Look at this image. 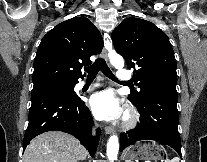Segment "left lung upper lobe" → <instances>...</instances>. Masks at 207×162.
Masks as SVG:
<instances>
[{"label": "left lung upper lobe", "mask_w": 207, "mask_h": 162, "mask_svg": "<svg viewBox=\"0 0 207 162\" xmlns=\"http://www.w3.org/2000/svg\"><path fill=\"white\" fill-rule=\"evenodd\" d=\"M112 40L128 68L134 69L133 79L140 90L128 95L133 104H142L151 95L177 96L176 60L162 30L147 20L129 17L113 31Z\"/></svg>", "instance_id": "obj_1"}]
</instances>
